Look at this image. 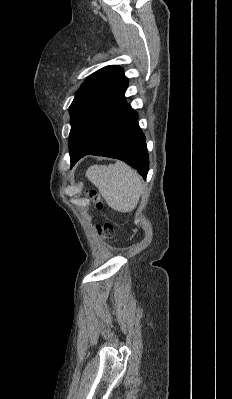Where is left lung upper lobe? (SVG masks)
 Returning <instances> with one entry per match:
<instances>
[{
	"mask_svg": "<svg viewBox=\"0 0 232 399\" xmlns=\"http://www.w3.org/2000/svg\"><path fill=\"white\" fill-rule=\"evenodd\" d=\"M128 79L118 66L93 73L76 92L69 107L71 163L103 142L132 108L126 103Z\"/></svg>",
	"mask_w": 232,
	"mask_h": 399,
	"instance_id": "1",
	"label": "left lung upper lobe"
}]
</instances>
